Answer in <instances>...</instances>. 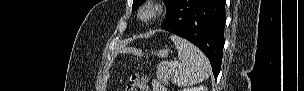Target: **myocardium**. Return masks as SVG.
Instances as JSON below:
<instances>
[{
    "label": "myocardium",
    "instance_id": "myocardium-1",
    "mask_svg": "<svg viewBox=\"0 0 304 91\" xmlns=\"http://www.w3.org/2000/svg\"><path fill=\"white\" fill-rule=\"evenodd\" d=\"M161 3V1H145L138 9V20L142 23H150L158 19L163 12Z\"/></svg>",
    "mask_w": 304,
    "mask_h": 91
}]
</instances>
